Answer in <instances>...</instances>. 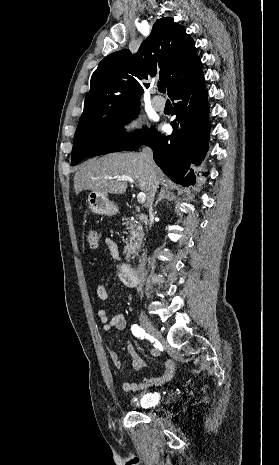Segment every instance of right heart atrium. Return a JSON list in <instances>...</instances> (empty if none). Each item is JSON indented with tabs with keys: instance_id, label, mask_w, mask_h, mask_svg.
<instances>
[{
	"instance_id": "right-heart-atrium-1",
	"label": "right heart atrium",
	"mask_w": 279,
	"mask_h": 465,
	"mask_svg": "<svg viewBox=\"0 0 279 465\" xmlns=\"http://www.w3.org/2000/svg\"><path fill=\"white\" fill-rule=\"evenodd\" d=\"M142 131V121L140 116L135 112L124 114L118 121L116 134L121 139L132 138L139 135Z\"/></svg>"
}]
</instances>
